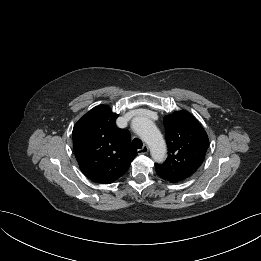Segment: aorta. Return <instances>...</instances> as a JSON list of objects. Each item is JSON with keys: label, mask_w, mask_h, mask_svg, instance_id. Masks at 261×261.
I'll return each instance as SVG.
<instances>
[{"label": "aorta", "mask_w": 261, "mask_h": 261, "mask_svg": "<svg viewBox=\"0 0 261 261\" xmlns=\"http://www.w3.org/2000/svg\"><path fill=\"white\" fill-rule=\"evenodd\" d=\"M132 128L149 146L152 158L162 162L166 156V144L154 122L148 117L138 116L132 120Z\"/></svg>", "instance_id": "762f6f07"}]
</instances>
